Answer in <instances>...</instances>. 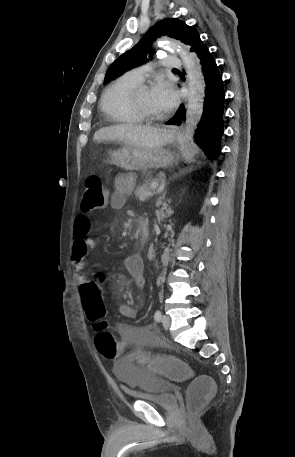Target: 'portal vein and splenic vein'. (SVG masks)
Returning a JSON list of instances; mask_svg holds the SVG:
<instances>
[{"label": "portal vein and splenic vein", "mask_w": 295, "mask_h": 457, "mask_svg": "<svg viewBox=\"0 0 295 457\" xmlns=\"http://www.w3.org/2000/svg\"><path fill=\"white\" fill-rule=\"evenodd\" d=\"M157 187H158V182H153V183L151 184V189L154 190V189H156Z\"/></svg>", "instance_id": "18ae733b"}]
</instances>
